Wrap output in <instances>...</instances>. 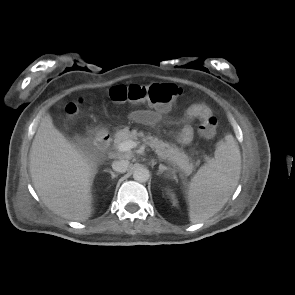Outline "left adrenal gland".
I'll use <instances>...</instances> for the list:
<instances>
[{
	"mask_svg": "<svg viewBox=\"0 0 295 295\" xmlns=\"http://www.w3.org/2000/svg\"><path fill=\"white\" fill-rule=\"evenodd\" d=\"M170 172H172V169L171 168L166 167L163 164H160L159 165V170H158L157 174L159 175V174H163L164 173V174H166V175L169 176V173Z\"/></svg>",
	"mask_w": 295,
	"mask_h": 295,
	"instance_id": "obj_1",
	"label": "left adrenal gland"
}]
</instances>
